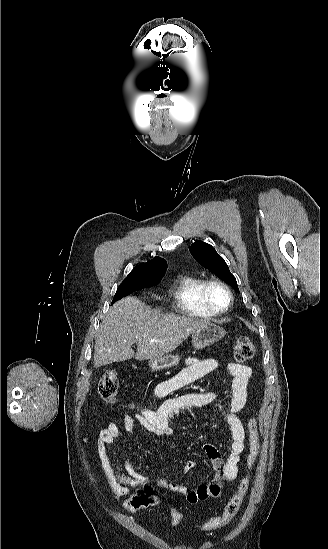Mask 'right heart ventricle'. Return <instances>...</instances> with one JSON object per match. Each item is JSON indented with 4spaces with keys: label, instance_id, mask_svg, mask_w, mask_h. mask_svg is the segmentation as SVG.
<instances>
[{
    "label": "right heart ventricle",
    "instance_id": "obj_1",
    "mask_svg": "<svg viewBox=\"0 0 328 549\" xmlns=\"http://www.w3.org/2000/svg\"><path fill=\"white\" fill-rule=\"evenodd\" d=\"M208 281L205 278L188 275L179 280L172 293V303L181 310V319H202V322L214 318L202 309V289Z\"/></svg>",
    "mask_w": 328,
    "mask_h": 549
}]
</instances>
